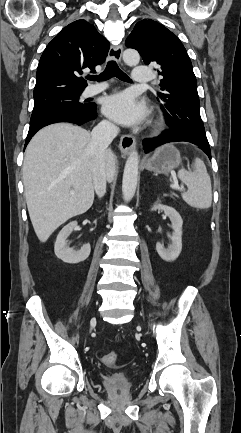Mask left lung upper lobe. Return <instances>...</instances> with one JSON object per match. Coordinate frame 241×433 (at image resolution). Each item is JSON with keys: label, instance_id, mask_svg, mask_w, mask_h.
I'll list each match as a JSON object with an SVG mask.
<instances>
[{"label": "left lung upper lobe", "instance_id": "1", "mask_svg": "<svg viewBox=\"0 0 241 433\" xmlns=\"http://www.w3.org/2000/svg\"><path fill=\"white\" fill-rule=\"evenodd\" d=\"M126 46L136 49L145 64L157 65L158 74L163 76L158 100L169 128L208 142L200 116L197 80L180 40L160 23L144 19L135 25Z\"/></svg>", "mask_w": 241, "mask_h": 433}]
</instances>
